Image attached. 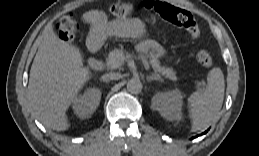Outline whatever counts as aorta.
<instances>
[{
  "label": "aorta",
  "instance_id": "obj_1",
  "mask_svg": "<svg viewBox=\"0 0 259 156\" xmlns=\"http://www.w3.org/2000/svg\"><path fill=\"white\" fill-rule=\"evenodd\" d=\"M127 90L132 94H138L142 90V83L139 79L132 78L127 82Z\"/></svg>",
  "mask_w": 259,
  "mask_h": 156
}]
</instances>
